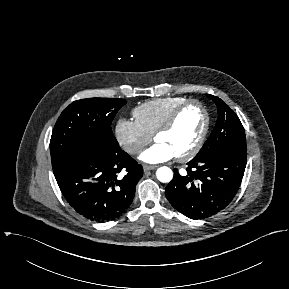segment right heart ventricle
Listing matches in <instances>:
<instances>
[{
	"label": "right heart ventricle",
	"instance_id": "right-heart-ventricle-1",
	"mask_svg": "<svg viewBox=\"0 0 289 289\" xmlns=\"http://www.w3.org/2000/svg\"><path fill=\"white\" fill-rule=\"evenodd\" d=\"M186 100L184 97L153 99L135 107L133 116L140 127L152 136L173 110Z\"/></svg>",
	"mask_w": 289,
	"mask_h": 289
}]
</instances>
